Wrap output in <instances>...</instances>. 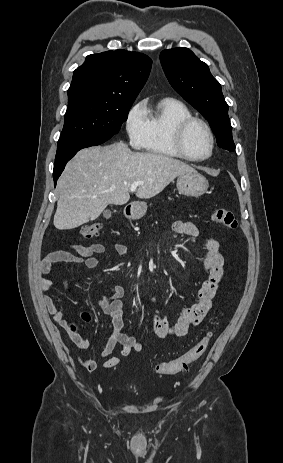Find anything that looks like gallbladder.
Segmentation results:
<instances>
[{
    "instance_id": "gallbladder-1",
    "label": "gallbladder",
    "mask_w": 283,
    "mask_h": 463,
    "mask_svg": "<svg viewBox=\"0 0 283 463\" xmlns=\"http://www.w3.org/2000/svg\"><path fill=\"white\" fill-rule=\"evenodd\" d=\"M104 217H110L111 216V212L109 210H105L104 213H103Z\"/></svg>"
}]
</instances>
